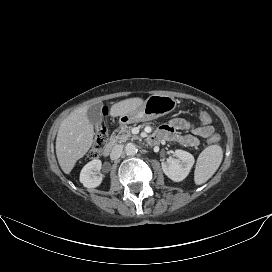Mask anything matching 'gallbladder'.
Returning <instances> with one entry per match:
<instances>
[{
    "label": "gallbladder",
    "mask_w": 272,
    "mask_h": 272,
    "mask_svg": "<svg viewBox=\"0 0 272 272\" xmlns=\"http://www.w3.org/2000/svg\"><path fill=\"white\" fill-rule=\"evenodd\" d=\"M87 117L91 124L98 127L102 123L101 105H94L88 108Z\"/></svg>",
    "instance_id": "obj_1"
}]
</instances>
